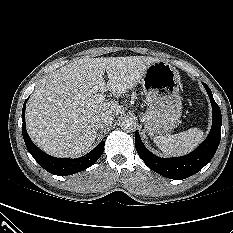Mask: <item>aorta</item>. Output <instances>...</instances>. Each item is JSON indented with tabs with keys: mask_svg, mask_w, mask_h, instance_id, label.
<instances>
[{
	"mask_svg": "<svg viewBox=\"0 0 233 233\" xmlns=\"http://www.w3.org/2000/svg\"><path fill=\"white\" fill-rule=\"evenodd\" d=\"M120 126L123 131L133 132L136 130V122L132 118H125Z\"/></svg>",
	"mask_w": 233,
	"mask_h": 233,
	"instance_id": "aorta-1",
	"label": "aorta"
}]
</instances>
